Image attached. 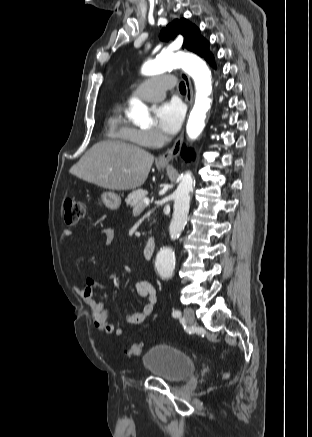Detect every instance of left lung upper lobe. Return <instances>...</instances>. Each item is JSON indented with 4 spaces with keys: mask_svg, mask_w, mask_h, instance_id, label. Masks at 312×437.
Instances as JSON below:
<instances>
[{
    "mask_svg": "<svg viewBox=\"0 0 312 437\" xmlns=\"http://www.w3.org/2000/svg\"><path fill=\"white\" fill-rule=\"evenodd\" d=\"M177 34H182L185 37L183 48L205 57L206 60L212 55L208 51L209 44L200 36L199 29L186 19L174 20L161 31L160 35L162 40H169L170 38L173 39Z\"/></svg>",
    "mask_w": 312,
    "mask_h": 437,
    "instance_id": "left-lung-upper-lobe-1",
    "label": "left lung upper lobe"
}]
</instances>
